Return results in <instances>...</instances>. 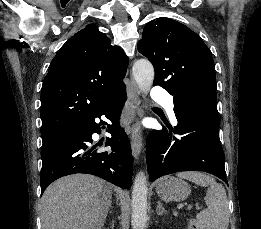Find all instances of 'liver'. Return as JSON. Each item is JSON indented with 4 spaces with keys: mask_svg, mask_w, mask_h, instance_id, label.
Returning <instances> with one entry per match:
<instances>
[{
    "mask_svg": "<svg viewBox=\"0 0 261 229\" xmlns=\"http://www.w3.org/2000/svg\"><path fill=\"white\" fill-rule=\"evenodd\" d=\"M111 199L112 185L103 179L62 177L41 197V229H103Z\"/></svg>",
    "mask_w": 261,
    "mask_h": 229,
    "instance_id": "1",
    "label": "liver"
}]
</instances>
